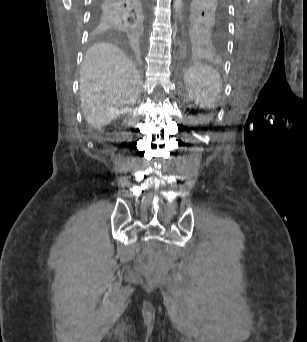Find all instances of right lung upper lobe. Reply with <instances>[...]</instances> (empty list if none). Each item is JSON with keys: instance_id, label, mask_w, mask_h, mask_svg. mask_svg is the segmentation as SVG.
I'll return each instance as SVG.
<instances>
[{"instance_id": "obj_1", "label": "right lung upper lobe", "mask_w": 307, "mask_h": 342, "mask_svg": "<svg viewBox=\"0 0 307 342\" xmlns=\"http://www.w3.org/2000/svg\"><path fill=\"white\" fill-rule=\"evenodd\" d=\"M149 2L147 0H95L93 22L101 37L141 41L147 30Z\"/></svg>"}]
</instances>
